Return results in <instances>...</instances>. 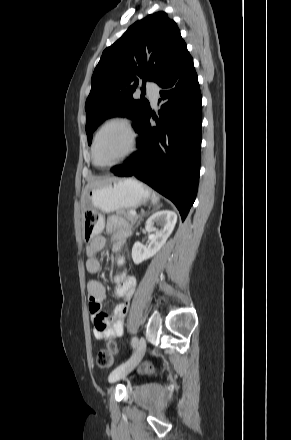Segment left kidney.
Wrapping results in <instances>:
<instances>
[{
  "label": "left kidney",
  "mask_w": 291,
  "mask_h": 440,
  "mask_svg": "<svg viewBox=\"0 0 291 440\" xmlns=\"http://www.w3.org/2000/svg\"><path fill=\"white\" fill-rule=\"evenodd\" d=\"M177 215L171 210H162L152 214L145 223V230L151 233V241L148 246L136 242L132 248V259L135 264L153 257L166 243L174 230ZM159 226L160 228L156 227Z\"/></svg>",
  "instance_id": "1"
}]
</instances>
